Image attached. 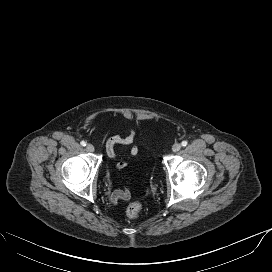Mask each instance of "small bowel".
Listing matches in <instances>:
<instances>
[{"label":"small bowel","mask_w":272,"mask_h":272,"mask_svg":"<svg viewBox=\"0 0 272 272\" xmlns=\"http://www.w3.org/2000/svg\"><path fill=\"white\" fill-rule=\"evenodd\" d=\"M136 138V131L133 128H128L127 134L124 136L116 135L111 136L106 141V152L110 158H117L115 152L116 145H123V146H131ZM139 153V149L137 146L132 145L129 150V156L135 157ZM127 166V162L125 160H119L116 164L117 170H122ZM130 198V190H113L110 193L111 202L116 205L120 200H127Z\"/></svg>","instance_id":"c3829d8e"}]
</instances>
